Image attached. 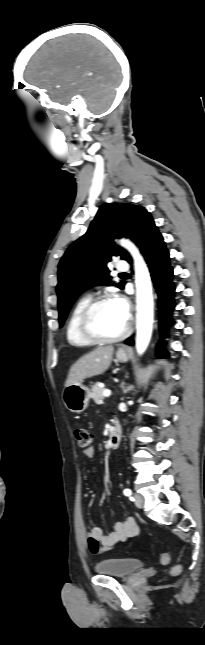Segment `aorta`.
<instances>
[{
  "label": "aorta",
  "mask_w": 205,
  "mask_h": 645,
  "mask_svg": "<svg viewBox=\"0 0 205 645\" xmlns=\"http://www.w3.org/2000/svg\"><path fill=\"white\" fill-rule=\"evenodd\" d=\"M132 255L135 265L137 334L136 349L143 354L150 342L153 328V295L150 273L138 249L128 240L120 241Z\"/></svg>",
  "instance_id": "obj_1"
}]
</instances>
